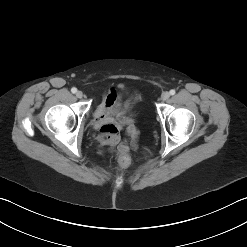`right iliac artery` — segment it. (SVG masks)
I'll list each match as a JSON object with an SVG mask.
<instances>
[{
    "mask_svg": "<svg viewBox=\"0 0 247 247\" xmlns=\"http://www.w3.org/2000/svg\"><path fill=\"white\" fill-rule=\"evenodd\" d=\"M71 92L75 94V93L77 92V89H76L75 87H73V88L71 89Z\"/></svg>",
    "mask_w": 247,
    "mask_h": 247,
    "instance_id": "82829eb1",
    "label": "right iliac artery"
}]
</instances>
